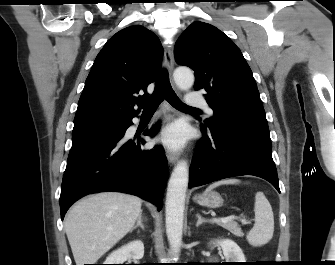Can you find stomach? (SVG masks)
I'll return each mask as SVG.
<instances>
[{
    "instance_id": "1",
    "label": "stomach",
    "mask_w": 335,
    "mask_h": 265,
    "mask_svg": "<svg viewBox=\"0 0 335 265\" xmlns=\"http://www.w3.org/2000/svg\"><path fill=\"white\" fill-rule=\"evenodd\" d=\"M194 200L202 206L211 208L219 207L223 203L221 196L217 192L213 191H208L202 195L195 196Z\"/></svg>"
}]
</instances>
